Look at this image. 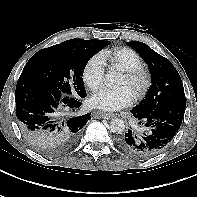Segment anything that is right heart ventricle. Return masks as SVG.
Masks as SVG:
<instances>
[{
	"instance_id": "e07e8e85",
	"label": "right heart ventricle",
	"mask_w": 197,
	"mask_h": 197,
	"mask_svg": "<svg viewBox=\"0 0 197 197\" xmlns=\"http://www.w3.org/2000/svg\"><path fill=\"white\" fill-rule=\"evenodd\" d=\"M100 57L104 63L121 71H126L143 66L142 57L128 47H116L101 52Z\"/></svg>"
}]
</instances>
